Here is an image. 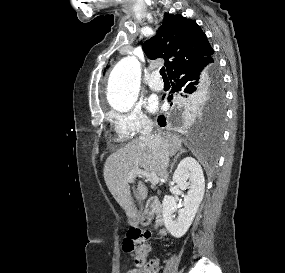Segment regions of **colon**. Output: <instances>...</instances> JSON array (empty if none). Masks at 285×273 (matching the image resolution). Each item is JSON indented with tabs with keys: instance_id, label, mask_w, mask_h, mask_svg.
<instances>
[{
	"instance_id": "colon-1",
	"label": "colon",
	"mask_w": 285,
	"mask_h": 273,
	"mask_svg": "<svg viewBox=\"0 0 285 273\" xmlns=\"http://www.w3.org/2000/svg\"><path fill=\"white\" fill-rule=\"evenodd\" d=\"M123 250L130 254L135 262V268L129 273H155L157 263L146 264V258L149 253L148 234L140 230L133 231L122 242Z\"/></svg>"
}]
</instances>
